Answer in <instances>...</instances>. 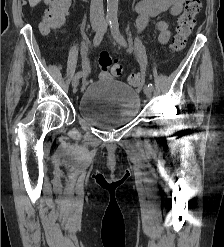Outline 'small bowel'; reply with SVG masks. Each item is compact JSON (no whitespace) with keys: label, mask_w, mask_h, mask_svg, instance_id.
<instances>
[{"label":"small bowel","mask_w":224,"mask_h":247,"mask_svg":"<svg viewBox=\"0 0 224 247\" xmlns=\"http://www.w3.org/2000/svg\"><path fill=\"white\" fill-rule=\"evenodd\" d=\"M184 0H141L136 5L138 17L136 19V31L142 32L148 25L150 19L168 11L172 16H178L183 9ZM158 40L161 44L168 43L171 33L168 23L160 20L156 24Z\"/></svg>","instance_id":"obj_1"}]
</instances>
